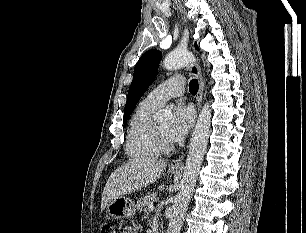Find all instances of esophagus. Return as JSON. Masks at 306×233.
<instances>
[{
  "mask_svg": "<svg viewBox=\"0 0 306 233\" xmlns=\"http://www.w3.org/2000/svg\"><path fill=\"white\" fill-rule=\"evenodd\" d=\"M190 71L192 73V75H194L199 83V89H198V93L196 95V102H197V112L199 113L200 107H201V102H202V96H203V90H204V81H203V77L201 74V70H200V66L197 62H194L191 64L190 66ZM185 154L182 153L178 158L174 159L170 164L169 167L171 168H181L182 165V161L184 159Z\"/></svg>",
  "mask_w": 306,
  "mask_h": 233,
  "instance_id": "1",
  "label": "esophagus"
}]
</instances>
